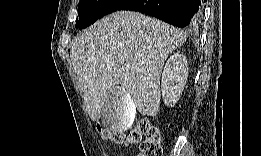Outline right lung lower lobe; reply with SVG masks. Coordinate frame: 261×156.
<instances>
[{
	"label": "right lung lower lobe",
	"instance_id": "1",
	"mask_svg": "<svg viewBox=\"0 0 261 156\" xmlns=\"http://www.w3.org/2000/svg\"><path fill=\"white\" fill-rule=\"evenodd\" d=\"M117 10L138 11L177 27L193 28L198 24L201 17V1L125 0Z\"/></svg>",
	"mask_w": 261,
	"mask_h": 156
}]
</instances>
